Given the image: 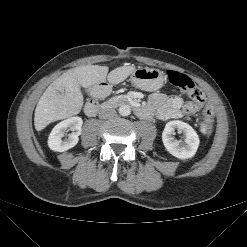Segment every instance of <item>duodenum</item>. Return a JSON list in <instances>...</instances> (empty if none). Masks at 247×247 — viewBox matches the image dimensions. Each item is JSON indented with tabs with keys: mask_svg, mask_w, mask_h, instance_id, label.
Segmentation results:
<instances>
[{
	"mask_svg": "<svg viewBox=\"0 0 247 247\" xmlns=\"http://www.w3.org/2000/svg\"><path fill=\"white\" fill-rule=\"evenodd\" d=\"M110 88V85L108 83H103L101 86H98L95 89L96 93H99L101 91H106ZM129 105L132 107L134 112L140 116V117H146L148 115V110L144 108L143 106L136 104V103H131L129 102ZM108 107L106 105H103L99 103L98 100L96 99H90L86 105H85V112L89 116H94L96 115L99 111L101 110H106Z\"/></svg>",
	"mask_w": 247,
	"mask_h": 247,
	"instance_id": "duodenum-1",
	"label": "duodenum"
}]
</instances>
